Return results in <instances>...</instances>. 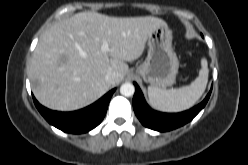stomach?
I'll use <instances>...</instances> for the list:
<instances>
[{
  "mask_svg": "<svg viewBox=\"0 0 248 165\" xmlns=\"http://www.w3.org/2000/svg\"><path fill=\"white\" fill-rule=\"evenodd\" d=\"M148 55L136 68L145 82L164 89L175 83L179 61L172 48V32L168 26H160L148 37Z\"/></svg>",
  "mask_w": 248,
  "mask_h": 165,
  "instance_id": "0dacf381",
  "label": "stomach"
}]
</instances>
